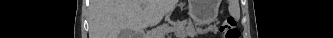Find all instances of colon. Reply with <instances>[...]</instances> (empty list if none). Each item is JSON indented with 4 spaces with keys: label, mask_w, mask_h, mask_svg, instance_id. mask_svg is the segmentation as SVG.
I'll list each match as a JSON object with an SVG mask.
<instances>
[{
    "label": "colon",
    "mask_w": 333,
    "mask_h": 38,
    "mask_svg": "<svg viewBox=\"0 0 333 38\" xmlns=\"http://www.w3.org/2000/svg\"><path fill=\"white\" fill-rule=\"evenodd\" d=\"M221 31L224 38H240V31L237 27V22L232 17H229L224 21Z\"/></svg>",
    "instance_id": "colon-1"
}]
</instances>
